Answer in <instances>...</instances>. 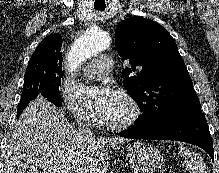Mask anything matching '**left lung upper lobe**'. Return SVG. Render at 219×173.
Returning a JSON list of instances; mask_svg holds the SVG:
<instances>
[{"label":"left lung upper lobe","mask_w":219,"mask_h":173,"mask_svg":"<svg viewBox=\"0 0 219 173\" xmlns=\"http://www.w3.org/2000/svg\"><path fill=\"white\" fill-rule=\"evenodd\" d=\"M115 44L130 64L122 70L123 86L143 112L135 125L155 126L199 107L186 65L164 27L140 16L128 18L118 25Z\"/></svg>","instance_id":"left-lung-upper-lobe-1"}]
</instances>
